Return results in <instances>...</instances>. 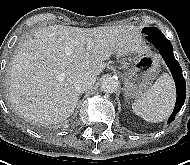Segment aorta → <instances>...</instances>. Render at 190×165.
Masks as SVG:
<instances>
[{
	"label": "aorta",
	"mask_w": 190,
	"mask_h": 165,
	"mask_svg": "<svg viewBox=\"0 0 190 165\" xmlns=\"http://www.w3.org/2000/svg\"><path fill=\"white\" fill-rule=\"evenodd\" d=\"M119 82L114 77H106L101 82V90L106 93H114L118 88Z\"/></svg>",
	"instance_id": "1"
}]
</instances>
